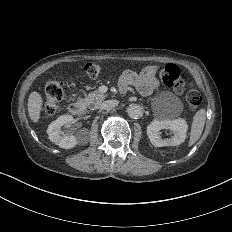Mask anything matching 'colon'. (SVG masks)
Wrapping results in <instances>:
<instances>
[{
  "instance_id": "obj_1",
  "label": "colon",
  "mask_w": 232,
  "mask_h": 232,
  "mask_svg": "<svg viewBox=\"0 0 232 232\" xmlns=\"http://www.w3.org/2000/svg\"><path fill=\"white\" fill-rule=\"evenodd\" d=\"M102 68L96 63L89 62L84 65L85 76H101ZM164 84L166 87L180 91V99H187L188 107H202L201 96L198 91L202 90L201 86H196L193 82L182 79V70L179 66L169 64L162 70ZM44 97L40 102L45 103L43 114L53 116L57 114V107L54 103L65 102L66 97L63 95L61 84L58 81H45L43 84Z\"/></svg>"
}]
</instances>
